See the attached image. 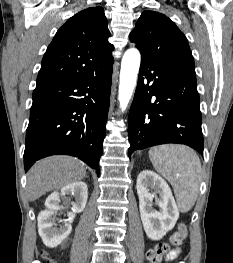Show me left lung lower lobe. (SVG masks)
<instances>
[{
  "instance_id": "1",
  "label": "left lung lower lobe",
  "mask_w": 233,
  "mask_h": 263,
  "mask_svg": "<svg viewBox=\"0 0 233 263\" xmlns=\"http://www.w3.org/2000/svg\"><path fill=\"white\" fill-rule=\"evenodd\" d=\"M195 70L142 59L128 118L129 157L164 143L186 144L203 154Z\"/></svg>"
}]
</instances>
